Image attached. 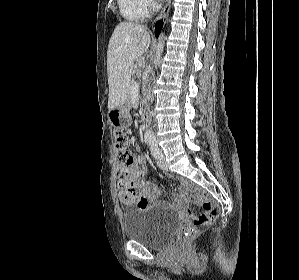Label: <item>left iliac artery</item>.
Listing matches in <instances>:
<instances>
[{
    "label": "left iliac artery",
    "instance_id": "44dca946",
    "mask_svg": "<svg viewBox=\"0 0 299 280\" xmlns=\"http://www.w3.org/2000/svg\"><path fill=\"white\" fill-rule=\"evenodd\" d=\"M148 144L150 146L151 154L153 155V157L156 159H160V157L162 156V152L158 148L156 140L155 139L149 140Z\"/></svg>",
    "mask_w": 299,
    "mask_h": 280
}]
</instances>
